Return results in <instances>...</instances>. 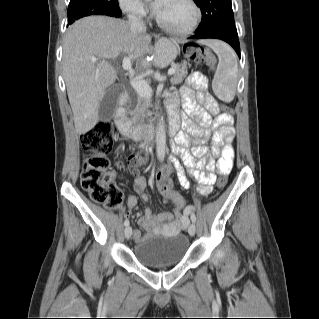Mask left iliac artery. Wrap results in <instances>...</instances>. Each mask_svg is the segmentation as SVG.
Instances as JSON below:
<instances>
[{"mask_svg": "<svg viewBox=\"0 0 319 319\" xmlns=\"http://www.w3.org/2000/svg\"><path fill=\"white\" fill-rule=\"evenodd\" d=\"M191 220L193 223L196 222V215L194 213H191Z\"/></svg>", "mask_w": 319, "mask_h": 319, "instance_id": "1", "label": "left iliac artery"}]
</instances>
